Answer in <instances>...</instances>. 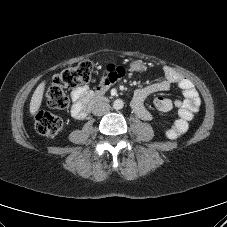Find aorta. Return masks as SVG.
Returning a JSON list of instances; mask_svg holds the SVG:
<instances>
[{"instance_id": "762f6f07", "label": "aorta", "mask_w": 227, "mask_h": 227, "mask_svg": "<svg viewBox=\"0 0 227 227\" xmlns=\"http://www.w3.org/2000/svg\"><path fill=\"white\" fill-rule=\"evenodd\" d=\"M123 106H124V102H123V100H121V99H116V100L113 102V107H114V109H116V110L122 109Z\"/></svg>"}]
</instances>
